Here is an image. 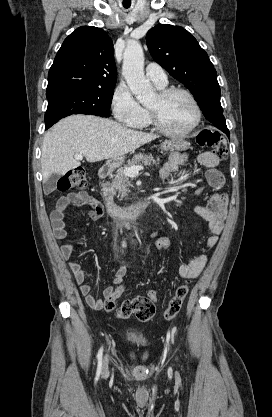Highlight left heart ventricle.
<instances>
[{"instance_id":"left-heart-ventricle-1","label":"left heart ventricle","mask_w":272,"mask_h":417,"mask_svg":"<svg viewBox=\"0 0 272 417\" xmlns=\"http://www.w3.org/2000/svg\"><path fill=\"white\" fill-rule=\"evenodd\" d=\"M149 108L155 110L161 122L174 131L189 128L195 119L191 101L182 94H176L164 101L157 96Z\"/></svg>"}]
</instances>
